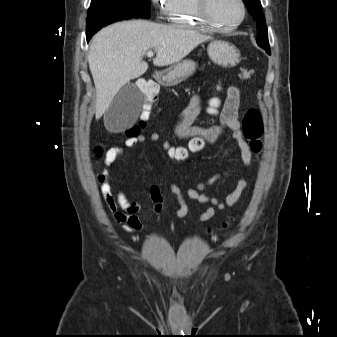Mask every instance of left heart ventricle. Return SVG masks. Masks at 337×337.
Listing matches in <instances>:
<instances>
[{
	"label": "left heart ventricle",
	"mask_w": 337,
	"mask_h": 337,
	"mask_svg": "<svg viewBox=\"0 0 337 337\" xmlns=\"http://www.w3.org/2000/svg\"><path fill=\"white\" fill-rule=\"evenodd\" d=\"M210 10L214 19L224 25L237 22L242 14L238 0H211Z\"/></svg>",
	"instance_id": "left-heart-ventricle-1"
}]
</instances>
